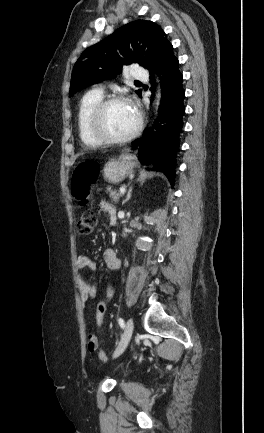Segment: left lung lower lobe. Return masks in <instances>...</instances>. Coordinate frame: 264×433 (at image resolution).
Instances as JSON below:
<instances>
[{"instance_id":"left-lung-lower-lobe-1","label":"left lung lower lobe","mask_w":264,"mask_h":433,"mask_svg":"<svg viewBox=\"0 0 264 433\" xmlns=\"http://www.w3.org/2000/svg\"><path fill=\"white\" fill-rule=\"evenodd\" d=\"M178 59L173 51L165 55L161 62L152 71L160 78L162 99L158 110V118L153 128L145 132L142 138L135 140L132 147L139 144V157L143 163H148L157 142L154 165L160 168L174 184L176 155L179 149V134L182 130V116L184 115L183 100L185 91L182 86V73L178 69ZM151 78V90L154 91V78ZM153 101V95L151 102ZM154 129L156 130L154 132Z\"/></svg>"}]
</instances>
